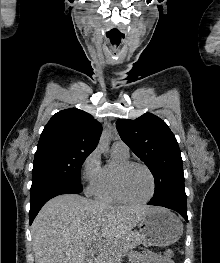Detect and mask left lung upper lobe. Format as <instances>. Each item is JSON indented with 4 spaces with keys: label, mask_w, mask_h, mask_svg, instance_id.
<instances>
[{
    "label": "left lung upper lobe",
    "mask_w": 220,
    "mask_h": 263,
    "mask_svg": "<svg viewBox=\"0 0 220 263\" xmlns=\"http://www.w3.org/2000/svg\"><path fill=\"white\" fill-rule=\"evenodd\" d=\"M116 127L121 139L153 174L155 192L151 201L186 207L180 149L167 124L145 113L135 120L120 119Z\"/></svg>",
    "instance_id": "1"
}]
</instances>
